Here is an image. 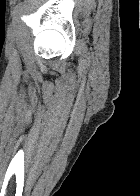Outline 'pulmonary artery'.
Listing matches in <instances>:
<instances>
[{
	"label": "pulmonary artery",
	"mask_w": 140,
	"mask_h": 196,
	"mask_svg": "<svg viewBox=\"0 0 140 196\" xmlns=\"http://www.w3.org/2000/svg\"><path fill=\"white\" fill-rule=\"evenodd\" d=\"M34 192H48V191H34Z\"/></svg>",
	"instance_id": "e3ab8cb5"
}]
</instances>
